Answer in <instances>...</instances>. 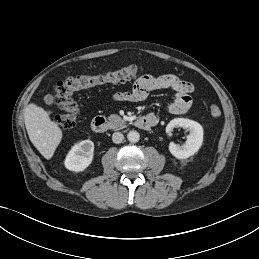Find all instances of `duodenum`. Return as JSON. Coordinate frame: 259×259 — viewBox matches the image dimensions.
Here are the masks:
<instances>
[{"label":"duodenum","instance_id":"obj_1","mask_svg":"<svg viewBox=\"0 0 259 259\" xmlns=\"http://www.w3.org/2000/svg\"><path fill=\"white\" fill-rule=\"evenodd\" d=\"M157 121L155 116H143L137 119L136 125L141 129L153 126ZM91 128L94 132L103 133L108 130V121L105 117L98 116L93 118Z\"/></svg>","mask_w":259,"mask_h":259}]
</instances>
